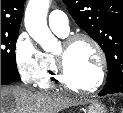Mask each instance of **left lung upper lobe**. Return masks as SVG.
I'll list each match as a JSON object with an SVG mask.
<instances>
[{"mask_svg":"<svg viewBox=\"0 0 123 113\" xmlns=\"http://www.w3.org/2000/svg\"><path fill=\"white\" fill-rule=\"evenodd\" d=\"M77 25L102 48L108 61L103 91L123 92V0H63Z\"/></svg>","mask_w":123,"mask_h":113,"instance_id":"left-lung-upper-lobe-1","label":"left lung upper lobe"}]
</instances>
